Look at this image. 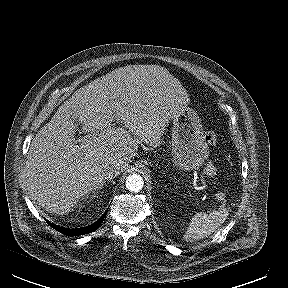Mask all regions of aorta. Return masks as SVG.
Returning <instances> with one entry per match:
<instances>
[{"mask_svg":"<svg viewBox=\"0 0 288 288\" xmlns=\"http://www.w3.org/2000/svg\"><path fill=\"white\" fill-rule=\"evenodd\" d=\"M143 185L144 181L140 175L133 174L126 178V188L131 192H139Z\"/></svg>","mask_w":288,"mask_h":288,"instance_id":"762f6f07","label":"aorta"}]
</instances>
